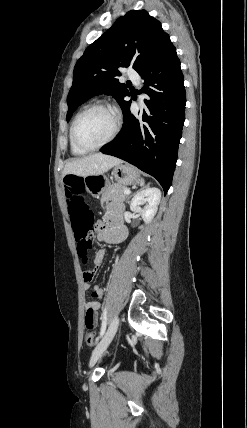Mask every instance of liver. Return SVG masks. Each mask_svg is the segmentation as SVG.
Segmentation results:
<instances>
[{
	"label": "liver",
	"instance_id": "6515ba94",
	"mask_svg": "<svg viewBox=\"0 0 247 428\" xmlns=\"http://www.w3.org/2000/svg\"><path fill=\"white\" fill-rule=\"evenodd\" d=\"M122 162L114 156L102 153L92 154L68 162L64 167L63 175L73 174L82 177L100 175Z\"/></svg>",
	"mask_w": 247,
	"mask_h": 428
}]
</instances>
